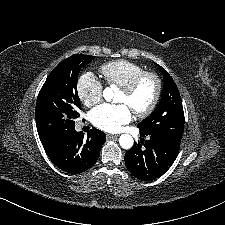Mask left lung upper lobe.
Returning a JSON list of instances; mask_svg holds the SVG:
<instances>
[{"mask_svg":"<svg viewBox=\"0 0 225 225\" xmlns=\"http://www.w3.org/2000/svg\"><path fill=\"white\" fill-rule=\"evenodd\" d=\"M159 67L164 76L161 101L138 127L142 133H166L182 138L185 119L181 97L172 77L164 68Z\"/></svg>","mask_w":225,"mask_h":225,"instance_id":"5c2ea615","label":"left lung upper lobe"}]
</instances>
